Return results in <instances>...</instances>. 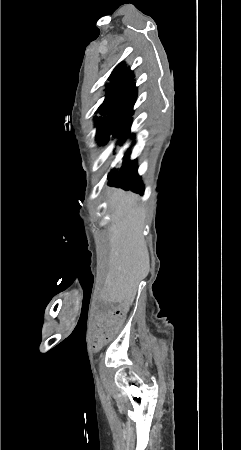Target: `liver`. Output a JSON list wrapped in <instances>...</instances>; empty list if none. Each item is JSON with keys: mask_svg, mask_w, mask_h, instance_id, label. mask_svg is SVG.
<instances>
[{"mask_svg": "<svg viewBox=\"0 0 241 450\" xmlns=\"http://www.w3.org/2000/svg\"><path fill=\"white\" fill-rule=\"evenodd\" d=\"M116 224L110 234V254L106 274L107 292L116 302L131 306L139 286L149 272V254L143 236L145 208L138 206L137 194L117 188L108 190Z\"/></svg>", "mask_w": 241, "mask_h": 450, "instance_id": "obj_1", "label": "liver"}]
</instances>
